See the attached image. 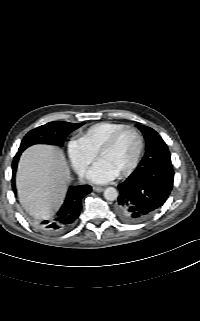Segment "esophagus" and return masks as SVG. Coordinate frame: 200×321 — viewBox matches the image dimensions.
<instances>
[{"label": "esophagus", "mask_w": 200, "mask_h": 321, "mask_svg": "<svg viewBox=\"0 0 200 321\" xmlns=\"http://www.w3.org/2000/svg\"><path fill=\"white\" fill-rule=\"evenodd\" d=\"M93 190L95 192H102L104 190V188L103 187H99V186H93Z\"/></svg>", "instance_id": "34e87169"}]
</instances>
